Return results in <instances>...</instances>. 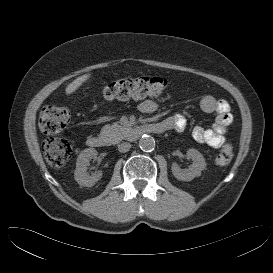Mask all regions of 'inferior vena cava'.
Returning <instances> with one entry per match:
<instances>
[{"mask_svg": "<svg viewBox=\"0 0 273 273\" xmlns=\"http://www.w3.org/2000/svg\"><path fill=\"white\" fill-rule=\"evenodd\" d=\"M130 148H131V144L128 142H123L118 145V151L121 153H125V152L129 151Z\"/></svg>", "mask_w": 273, "mask_h": 273, "instance_id": "inferior-vena-cava-1", "label": "inferior vena cava"}]
</instances>
